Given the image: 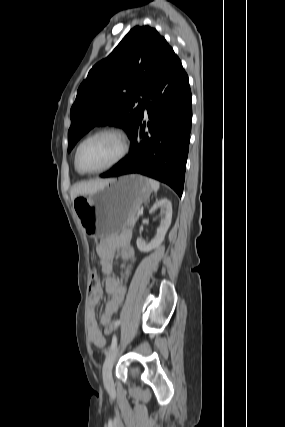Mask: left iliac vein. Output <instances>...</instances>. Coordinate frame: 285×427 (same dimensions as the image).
I'll return each instance as SVG.
<instances>
[{
	"instance_id": "left-iliac-vein-1",
	"label": "left iliac vein",
	"mask_w": 285,
	"mask_h": 427,
	"mask_svg": "<svg viewBox=\"0 0 285 427\" xmlns=\"http://www.w3.org/2000/svg\"><path fill=\"white\" fill-rule=\"evenodd\" d=\"M119 346H115L109 351L102 368L103 382L107 389L113 388L112 367L118 353Z\"/></svg>"
}]
</instances>
